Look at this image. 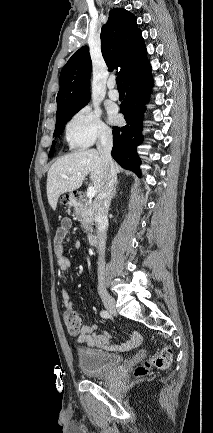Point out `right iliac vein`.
Returning <instances> with one entry per match:
<instances>
[{
  "mask_svg": "<svg viewBox=\"0 0 213 433\" xmlns=\"http://www.w3.org/2000/svg\"><path fill=\"white\" fill-rule=\"evenodd\" d=\"M101 298H102L103 304L106 307V309L110 313L116 314V301H115V299L109 294H103L101 296Z\"/></svg>",
  "mask_w": 213,
  "mask_h": 433,
  "instance_id": "1",
  "label": "right iliac vein"
}]
</instances>
